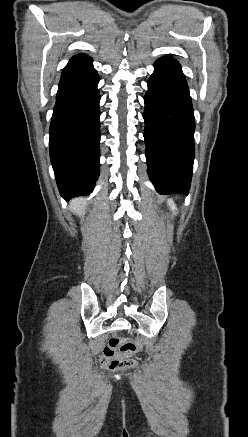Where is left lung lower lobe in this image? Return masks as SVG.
I'll return each instance as SVG.
<instances>
[{
    "label": "left lung lower lobe",
    "instance_id": "left-lung-lower-lobe-1",
    "mask_svg": "<svg viewBox=\"0 0 248 437\" xmlns=\"http://www.w3.org/2000/svg\"><path fill=\"white\" fill-rule=\"evenodd\" d=\"M144 97L148 175L160 194L188 195L195 154V119L179 62L159 58Z\"/></svg>",
    "mask_w": 248,
    "mask_h": 437
}]
</instances>
